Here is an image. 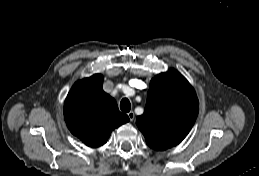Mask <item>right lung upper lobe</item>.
<instances>
[{"label":"right lung upper lobe","mask_w":259,"mask_h":176,"mask_svg":"<svg viewBox=\"0 0 259 176\" xmlns=\"http://www.w3.org/2000/svg\"><path fill=\"white\" fill-rule=\"evenodd\" d=\"M102 85L101 74L82 79L73 85L64 103L69 130L90 147L103 145L113 129L129 121Z\"/></svg>","instance_id":"1"}]
</instances>
